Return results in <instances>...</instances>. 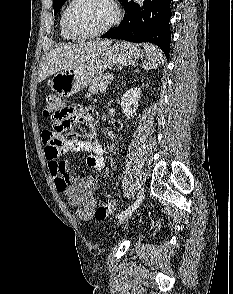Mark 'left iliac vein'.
Returning <instances> with one entry per match:
<instances>
[{
    "mask_svg": "<svg viewBox=\"0 0 233 294\" xmlns=\"http://www.w3.org/2000/svg\"><path fill=\"white\" fill-rule=\"evenodd\" d=\"M137 209V208H136ZM135 210L131 211L130 213L123 214L120 218L117 220V225L120 226L124 224L133 214Z\"/></svg>",
    "mask_w": 233,
    "mask_h": 294,
    "instance_id": "obj_1",
    "label": "left iliac vein"
}]
</instances>
